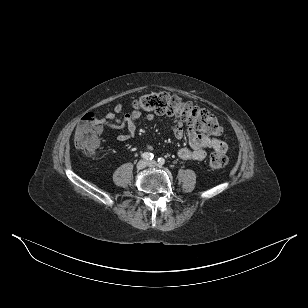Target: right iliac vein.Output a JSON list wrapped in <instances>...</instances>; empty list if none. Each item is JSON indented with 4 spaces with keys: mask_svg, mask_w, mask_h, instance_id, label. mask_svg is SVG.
I'll use <instances>...</instances> for the list:
<instances>
[{
    "mask_svg": "<svg viewBox=\"0 0 308 308\" xmlns=\"http://www.w3.org/2000/svg\"><path fill=\"white\" fill-rule=\"evenodd\" d=\"M146 166H148V162L145 160H140L136 165L139 170L144 169Z\"/></svg>",
    "mask_w": 308,
    "mask_h": 308,
    "instance_id": "63e3f726",
    "label": "right iliac vein"
}]
</instances>
